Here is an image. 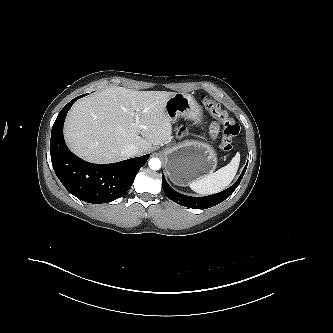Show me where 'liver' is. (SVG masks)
Listing matches in <instances>:
<instances>
[{"label":"liver","mask_w":333,"mask_h":333,"mask_svg":"<svg viewBox=\"0 0 333 333\" xmlns=\"http://www.w3.org/2000/svg\"><path fill=\"white\" fill-rule=\"evenodd\" d=\"M174 94L110 87L84 97L68 113L64 125L66 142L78 156L95 163L123 160L121 149L126 144H135L138 154L143 155L152 144L171 139V119L165 104Z\"/></svg>","instance_id":"obj_1"}]
</instances>
